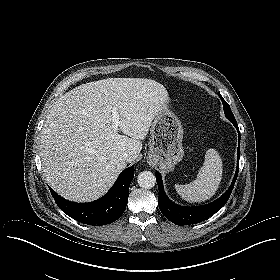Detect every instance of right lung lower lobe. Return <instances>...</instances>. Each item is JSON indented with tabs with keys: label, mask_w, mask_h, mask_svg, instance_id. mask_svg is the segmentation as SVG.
<instances>
[{
	"label": "right lung lower lobe",
	"mask_w": 280,
	"mask_h": 280,
	"mask_svg": "<svg viewBox=\"0 0 280 280\" xmlns=\"http://www.w3.org/2000/svg\"><path fill=\"white\" fill-rule=\"evenodd\" d=\"M134 177V167L125 169L114 186L102 198L89 203H74L50 192L59 208L68 216L84 224L101 226L116 221L125 211L129 186Z\"/></svg>",
	"instance_id": "right-lung-lower-lobe-1"
}]
</instances>
